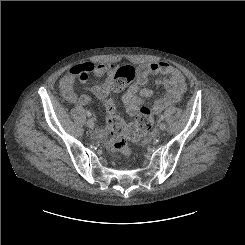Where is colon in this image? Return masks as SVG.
Instances as JSON below:
<instances>
[{"label": "colon", "mask_w": 245, "mask_h": 245, "mask_svg": "<svg viewBox=\"0 0 245 245\" xmlns=\"http://www.w3.org/2000/svg\"><path fill=\"white\" fill-rule=\"evenodd\" d=\"M82 67H76L75 72L81 73ZM86 78L83 74L80 79ZM135 76L132 68L125 67L123 72L114 80V90H120L133 82ZM107 122L112 132V148L124 156L131 154L128 138L138 139L145 134L152 126L151 114L146 107L140 109L139 114L131 125H126L124 121L116 114V107L112 101L106 104Z\"/></svg>", "instance_id": "1"}]
</instances>
